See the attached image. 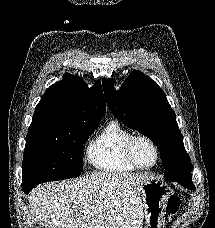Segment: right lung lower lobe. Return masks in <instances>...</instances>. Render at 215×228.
<instances>
[{"mask_svg": "<svg viewBox=\"0 0 215 228\" xmlns=\"http://www.w3.org/2000/svg\"><path fill=\"white\" fill-rule=\"evenodd\" d=\"M23 191L28 194L29 191H27V189L25 187H22Z\"/></svg>", "mask_w": 215, "mask_h": 228, "instance_id": "right-lung-lower-lobe-1", "label": "right lung lower lobe"}]
</instances>
